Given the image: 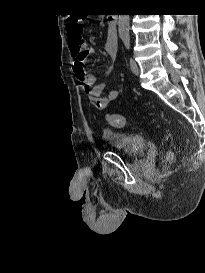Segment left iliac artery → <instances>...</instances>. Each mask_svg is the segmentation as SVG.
<instances>
[{"label":"left iliac artery","instance_id":"1","mask_svg":"<svg viewBox=\"0 0 205 273\" xmlns=\"http://www.w3.org/2000/svg\"><path fill=\"white\" fill-rule=\"evenodd\" d=\"M125 46H126V48H127V49H129L130 44H129V42H128V41H126V42H125Z\"/></svg>","mask_w":205,"mask_h":273}]
</instances>
